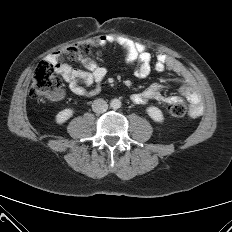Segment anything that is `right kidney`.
I'll return each mask as SVG.
<instances>
[{"label":"right kidney","instance_id":"1","mask_svg":"<svg viewBox=\"0 0 232 232\" xmlns=\"http://www.w3.org/2000/svg\"><path fill=\"white\" fill-rule=\"evenodd\" d=\"M72 116H73L72 109H64L56 115L55 120L58 124H62L64 122H66Z\"/></svg>","mask_w":232,"mask_h":232}]
</instances>
